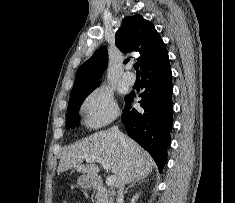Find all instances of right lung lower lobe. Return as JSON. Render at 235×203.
Returning <instances> with one entry per match:
<instances>
[{
    "mask_svg": "<svg viewBox=\"0 0 235 203\" xmlns=\"http://www.w3.org/2000/svg\"><path fill=\"white\" fill-rule=\"evenodd\" d=\"M143 93L139 101L143 110L132 109L133 93L126 96L121 120L132 139L149 152L162 171L167 158L172 127V74L169 58L141 72Z\"/></svg>",
    "mask_w": 235,
    "mask_h": 203,
    "instance_id": "right-lung-lower-lobe-1",
    "label": "right lung lower lobe"
}]
</instances>
